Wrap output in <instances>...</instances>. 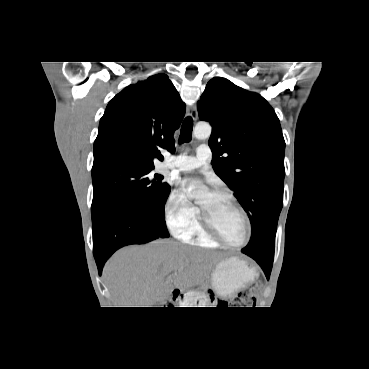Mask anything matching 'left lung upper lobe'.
<instances>
[{"label":"left lung upper lobe","instance_id":"obj_1","mask_svg":"<svg viewBox=\"0 0 369 369\" xmlns=\"http://www.w3.org/2000/svg\"><path fill=\"white\" fill-rule=\"evenodd\" d=\"M198 112L212 126L214 171L235 192L251 222V239L242 252L273 259L285 176V141L275 111L261 95L214 77Z\"/></svg>","mask_w":369,"mask_h":369}]
</instances>
